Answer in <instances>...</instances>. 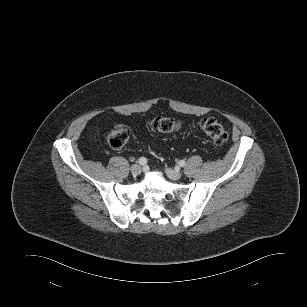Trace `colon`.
Here are the masks:
<instances>
[{"label":"colon","mask_w":307,"mask_h":307,"mask_svg":"<svg viewBox=\"0 0 307 307\" xmlns=\"http://www.w3.org/2000/svg\"><path fill=\"white\" fill-rule=\"evenodd\" d=\"M149 127L160 133H171L179 131L182 124L179 120L168 117H156L148 122ZM198 128L206 134L216 145H223L228 139L225 128L214 118L206 117L201 119ZM130 139L129 129L122 124L115 125L109 132L107 141L111 148L121 149Z\"/></svg>","instance_id":"1"}]
</instances>
